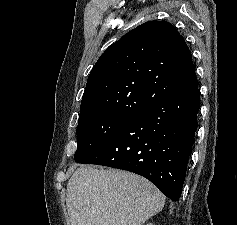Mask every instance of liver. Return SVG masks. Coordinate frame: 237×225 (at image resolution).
Wrapping results in <instances>:
<instances>
[{"label": "liver", "instance_id": "liver-1", "mask_svg": "<svg viewBox=\"0 0 237 225\" xmlns=\"http://www.w3.org/2000/svg\"><path fill=\"white\" fill-rule=\"evenodd\" d=\"M66 205L71 225H142L165 197L137 174L81 166L68 181Z\"/></svg>", "mask_w": 237, "mask_h": 225}]
</instances>
